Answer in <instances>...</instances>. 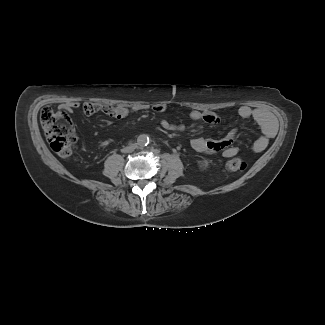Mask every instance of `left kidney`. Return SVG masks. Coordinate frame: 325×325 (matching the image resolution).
<instances>
[{
  "mask_svg": "<svg viewBox=\"0 0 325 325\" xmlns=\"http://www.w3.org/2000/svg\"><path fill=\"white\" fill-rule=\"evenodd\" d=\"M208 162H206V161H199V166H200V168L201 169H206V168H208Z\"/></svg>",
  "mask_w": 325,
  "mask_h": 325,
  "instance_id": "obj_1",
  "label": "left kidney"
}]
</instances>
